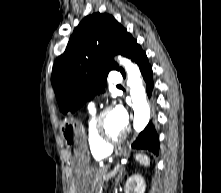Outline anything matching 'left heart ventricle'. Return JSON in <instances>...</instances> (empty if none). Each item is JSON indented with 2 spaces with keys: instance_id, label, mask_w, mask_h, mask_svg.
I'll return each instance as SVG.
<instances>
[{
  "instance_id": "obj_1",
  "label": "left heart ventricle",
  "mask_w": 221,
  "mask_h": 193,
  "mask_svg": "<svg viewBox=\"0 0 221 193\" xmlns=\"http://www.w3.org/2000/svg\"><path fill=\"white\" fill-rule=\"evenodd\" d=\"M103 127L108 137L116 138L120 136L124 130L123 126L115 117L113 111L107 113L103 120Z\"/></svg>"
}]
</instances>
